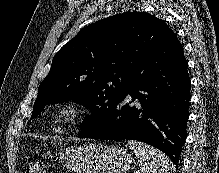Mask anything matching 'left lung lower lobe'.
Instances as JSON below:
<instances>
[{"instance_id": "obj_1", "label": "left lung lower lobe", "mask_w": 219, "mask_h": 173, "mask_svg": "<svg viewBox=\"0 0 219 173\" xmlns=\"http://www.w3.org/2000/svg\"><path fill=\"white\" fill-rule=\"evenodd\" d=\"M187 67L183 46L172 31L134 67L131 89L106 123L78 137L142 141L164 152L178 166L189 117Z\"/></svg>"}]
</instances>
